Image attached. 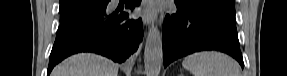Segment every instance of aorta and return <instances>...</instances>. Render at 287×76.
Here are the masks:
<instances>
[{
	"mask_svg": "<svg viewBox=\"0 0 287 76\" xmlns=\"http://www.w3.org/2000/svg\"><path fill=\"white\" fill-rule=\"evenodd\" d=\"M163 63L162 38L157 26H152L147 34L144 66L146 76H159Z\"/></svg>",
	"mask_w": 287,
	"mask_h": 76,
	"instance_id": "762f6f07",
	"label": "aorta"
}]
</instances>
